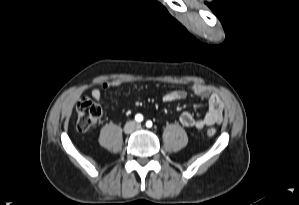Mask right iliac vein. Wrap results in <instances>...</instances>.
<instances>
[{"label":"right iliac vein","mask_w":299,"mask_h":205,"mask_svg":"<svg viewBox=\"0 0 299 205\" xmlns=\"http://www.w3.org/2000/svg\"><path fill=\"white\" fill-rule=\"evenodd\" d=\"M135 129V123L134 122H128L125 126H124V132L126 134H130L133 132V130Z\"/></svg>","instance_id":"right-iliac-vein-1"}]
</instances>
